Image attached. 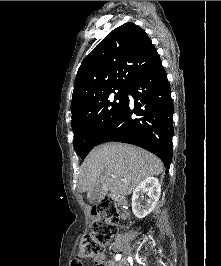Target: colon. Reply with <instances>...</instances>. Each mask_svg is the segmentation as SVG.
I'll return each instance as SVG.
<instances>
[{"mask_svg": "<svg viewBox=\"0 0 221 266\" xmlns=\"http://www.w3.org/2000/svg\"><path fill=\"white\" fill-rule=\"evenodd\" d=\"M92 213L95 219L91 231L82 237L79 244V256L82 258H96L117 232L118 210L112 199L101 200L93 207Z\"/></svg>", "mask_w": 221, "mask_h": 266, "instance_id": "5ec220e1", "label": "colon"}]
</instances>
